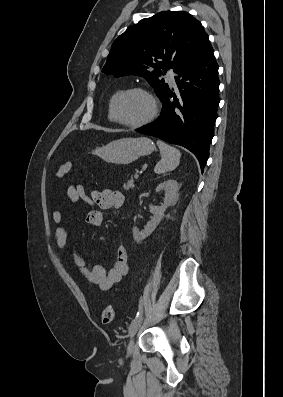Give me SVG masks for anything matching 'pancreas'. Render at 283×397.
Listing matches in <instances>:
<instances>
[{
    "mask_svg": "<svg viewBox=\"0 0 283 397\" xmlns=\"http://www.w3.org/2000/svg\"><path fill=\"white\" fill-rule=\"evenodd\" d=\"M134 186H135V181H134V179H133V178H129V179H127L126 182L124 183L123 188H124L125 190H130V189H132Z\"/></svg>",
    "mask_w": 283,
    "mask_h": 397,
    "instance_id": "pancreas-1",
    "label": "pancreas"
}]
</instances>
